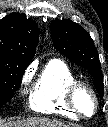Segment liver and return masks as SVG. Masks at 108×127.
<instances>
[{"mask_svg": "<svg viewBox=\"0 0 108 127\" xmlns=\"http://www.w3.org/2000/svg\"><path fill=\"white\" fill-rule=\"evenodd\" d=\"M0 127H70L55 119L45 117H31L24 120L9 121L4 123L0 121ZM77 127V126H76Z\"/></svg>", "mask_w": 108, "mask_h": 127, "instance_id": "1", "label": "liver"}]
</instances>
